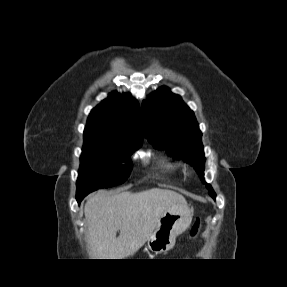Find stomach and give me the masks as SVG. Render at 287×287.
I'll return each mask as SVG.
<instances>
[{
	"instance_id": "1",
	"label": "stomach",
	"mask_w": 287,
	"mask_h": 287,
	"mask_svg": "<svg viewBox=\"0 0 287 287\" xmlns=\"http://www.w3.org/2000/svg\"><path fill=\"white\" fill-rule=\"evenodd\" d=\"M193 210L187 203L169 207L160 217L158 224L147 240L149 250L164 253L175 245L176 237L182 234L192 221Z\"/></svg>"
}]
</instances>
